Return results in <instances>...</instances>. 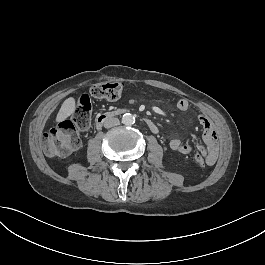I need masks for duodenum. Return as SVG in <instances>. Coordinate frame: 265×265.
Here are the masks:
<instances>
[{
    "mask_svg": "<svg viewBox=\"0 0 265 265\" xmlns=\"http://www.w3.org/2000/svg\"><path fill=\"white\" fill-rule=\"evenodd\" d=\"M119 112H120V110H114V111H108V112L99 114L96 117L97 128H100L105 123V121L115 117ZM143 121L152 132L158 133L159 128H158L157 124L151 118L144 117Z\"/></svg>",
    "mask_w": 265,
    "mask_h": 265,
    "instance_id": "obj_1",
    "label": "duodenum"
}]
</instances>
